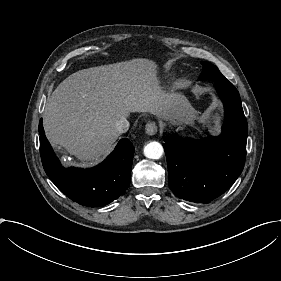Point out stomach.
I'll return each instance as SVG.
<instances>
[{
	"instance_id": "1",
	"label": "stomach",
	"mask_w": 281,
	"mask_h": 281,
	"mask_svg": "<svg viewBox=\"0 0 281 281\" xmlns=\"http://www.w3.org/2000/svg\"><path fill=\"white\" fill-rule=\"evenodd\" d=\"M194 112L195 109L188 99L186 105L179 104L176 111L166 119L169 122L166 130L169 132L170 129H175L176 132L183 131L185 126L193 122Z\"/></svg>"
}]
</instances>
